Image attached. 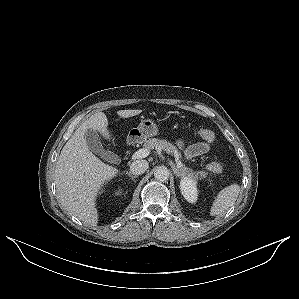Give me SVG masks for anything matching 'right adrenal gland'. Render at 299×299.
<instances>
[{
  "label": "right adrenal gland",
  "mask_w": 299,
  "mask_h": 299,
  "mask_svg": "<svg viewBox=\"0 0 299 299\" xmlns=\"http://www.w3.org/2000/svg\"><path fill=\"white\" fill-rule=\"evenodd\" d=\"M126 175H128L129 177H131L132 180H134L135 178H137V175H133L131 172H126Z\"/></svg>",
  "instance_id": "1"
}]
</instances>
